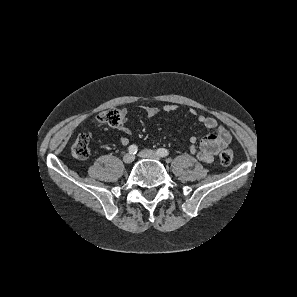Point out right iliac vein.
<instances>
[{"label":"right iliac vein","mask_w":297,"mask_h":297,"mask_svg":"<svg viewBox=\"0 0 297 297\" xmlns=\"http://www.w3.org/2000/svg\"><path fill=\"white\" fill-rule=\"evenodd\" d=\"M134 159H135V157L130 153H127L123 156V161L125 163H132L134 161Z\"/></svg>","instance_id":"obj_1"}]
</instances>
